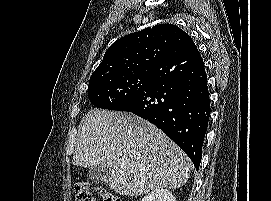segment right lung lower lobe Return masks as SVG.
I'll use <instances>...</instances> for the list:
<instances>
[{"mask_svg": "<svg viewBox=\"0 0 271 201\" xmlns=\"http://www.w3.org/2000/svg\"><path fill=\"white\" fill-rule=\"evenodd\" d=\"M152 73L149 89L125 102L120 111L160 128L198 170L211 109L204 63L193 40L187 36Z\"/></svg>", "mask_w": 271, "mask_h": 201, "instance_id": "right-lung-lower-lobe-1", "label": "right lung lower lobe"}]
</instances>
